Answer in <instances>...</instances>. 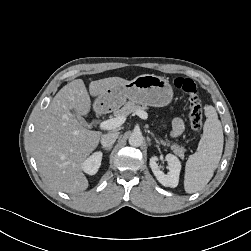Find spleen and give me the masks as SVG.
Masks as SVG:
<instances>
[{
  "mask_svg": "<svg viewBox=\"0 0 251 251\" xmlns=\"http://www.w3.org/2000/svg\"><path fill=\"white\" fill-rule=\"evenodd\" d=\"M205 114L207 120L197 152L186 162L184 189L187 193L198 192L208 184L222 156L224 137L221 122L214 107L208 106Z\"/></svg>",
  "mask_w": 251,
  "mask_h": 251,
  "instance_id": "3e777b00",
  "label": "spleen"
}]
</instances>
